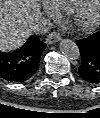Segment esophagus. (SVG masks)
Wrapping results in <instances>:
<instances>
[{
  "mask_svg": "<svg viewBox=\"0 0 100 118\" xmlns=\"http://www.w3.org/2000/svg\"><path fill=\"white\" fill-rule=\"evenodd\" d=\"M61 40V34L58 31L50 32L46 37L47 44H53Z\"/></svg>",
  "mask_w": 100,
  "mask_h": 118,
  "instance_id": "1",
  "label": "esophagus"
}]
</instances>
